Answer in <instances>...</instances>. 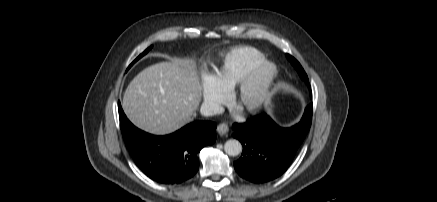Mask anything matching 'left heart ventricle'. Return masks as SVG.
I'll return each mask as SVG.
<instances>
[{
  "instance_id": "b2bd125f",
  "label": "left heart ventricle",
  "mask_w": 437,
  "mask_h": 202,
  "mask_svg": "<svg viewBox=\"0 0 437 202\" xmlns=\"http://www.w3.org/2000/svg\"><path fill=\"white\" fill-rule=\"evenodd\" d=\"M251 97H252V95H249V96H248V99H251Z\"/></svg>"
}]
</instances>
